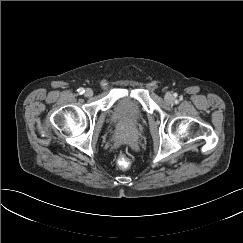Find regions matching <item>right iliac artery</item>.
Masks as SVG:
<instances>
[{
  "instance_id": "82829eb1",
  "label": "right iliac artery",
  "mask_w": 243,
  "mask_h": 243,
  "mask_svg": "<svg viewBox=\"0 0 243 243\" xmlns=\"http://www.w3.org/2000/svg\"><path fill=\"white\" fill-rule=\"evenodd\" d=\"M77 91L79 94H83L85 92L83 88H79Z\"/></svg>"
}]
</instances>
